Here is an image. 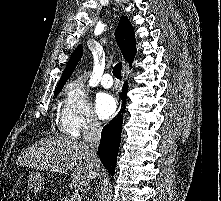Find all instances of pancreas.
<instances>
[{"label": "pancreas", "instance_id": "pancreas-1", "mask_svg": "<svg viewBox=\"0 0 221 201\" xmlns=\"http://www.w3.org/2000/svg\"><path fill=\"white\" fill-rule=\"evenodd\" d=\"M70 197V196H69ZM69 197H65L64 201H69ZM81 201V200H80Z\"/></svg>", "mask_w": 221, "mask_h": 201}]
</instances>
